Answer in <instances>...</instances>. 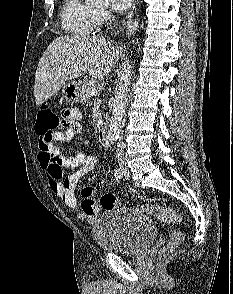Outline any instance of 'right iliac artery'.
<instances>
[{"label": "right iliac artery", "instance_id": "right-iliac-artery-1", "mask_svg": "<svg viewBox=\"0 0 233 294\" xmlns=\"http://www.w3.org/2000/svg\"><path fill=\"white\" fill-rule=\"evenodd\" d=\"M114 176L116 180H121V178L123 177V172L121 171V169L117 168L115 170Z\"/></svg>", "mask_w": 233, "mask_h": 294}]
</instances>
